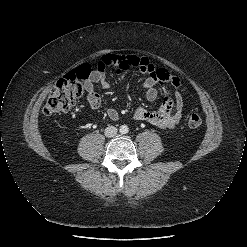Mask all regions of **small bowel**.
<instances>
[{
	"label": "small bowel",
	"mask_w": 247,
	"mask_h": 247,
	"mask_svg": "<svg viewBox=\"0 0 247 247\" xmlns=\"http://www.w3.org/2000/svg\"><path fill=\"white\" fill-rule=\"evenodd\" d=\"M108 67H115L119 72L128 70L131 67L138 68L147 77L143 83L145 96L148 101H155L158 98L157 85L169 84L175 90V98L171 99L166 95L162 105L157 110H149L139 107L134 111V118L138 121H145L160 128L173 129L182 119L184 111V97L182 84L179 78L173 76L164 68H157L146 56L138 55H117L106 54L98 63L97 69L91 71L84 82L87 91V104L92 109H98L101 105L100 95L95 91V84L104 89L111 88L105 70ZM107 116L111 120H117L118 111L110 107L107 109Z\"/></svg>",
	"instance_id": "small-bowel-1"
}]
</instances>
